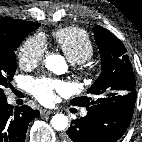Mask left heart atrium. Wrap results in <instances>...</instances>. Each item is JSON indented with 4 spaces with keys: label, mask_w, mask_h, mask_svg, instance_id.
<instances>
[{
    "label": "left heart atrium",
    "mask_w": 142,
    "mask_h": 142,
    "mask_svg": "<svg viewBox=\"0 0 142 142\" xmlns=\"http://www.w3.org/2000/svg\"><path fill=\"white\" fill-rule=\"evenodd\" d=\"M30 93L41 103L49 104L54 99L56 92H64L66 84L63 81L49 78H40L29 82Z\"/></svg>",
    "instance_id": "left-heart-atrium-1"
}]
</instances>
